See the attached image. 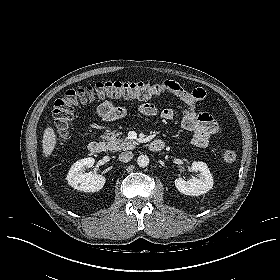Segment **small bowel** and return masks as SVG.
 <instances>
[{
    "label": "small bowel",
    "mask_w": 280,
    "mask_h": 280,
    "mask_svg": "<svg viewBox=\"0 0 280 280\" xmlns=\"http://www.w3.org/2000/svg\"><path fill=\"white\" fill-rule=\"evenodd\" d=\"M166 89L183 101L186 108L182 111V128L192 134V142L198 147H206L210 140L219 133L220 126L216 119L207 112H197V104L206 97V91L203 88H194L187 90L174 81H166ZM138 112L149 117H159L164 121L173 120L175 112L171 108L160 109L153 103H141ZM127 110L125 107L116 106L108 101L104 102L98 109L99 118L111 121L125 116Z\"/></svg>",
    "instance_id": "obj_1"
}]
</instances>
